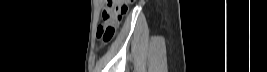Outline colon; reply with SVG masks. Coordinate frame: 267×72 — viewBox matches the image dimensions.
<instances>
[{"instance_id":"5ec220e1","label":"colon","mask_w":267,"mask_h":72,"mask_svg":"<svg viewBox=\"0 0 267 72\" xmlns=\"http://www.w3.org/2000/svg\"><path fill=\"white\" fill-rule=\"evenodd\" d=\"M134 0H108L107 16L103 18V23L98 26L97 38L102 42H109L114 36L123 16L127 13L128 7Z\"/></svg>"}]
</instances>
